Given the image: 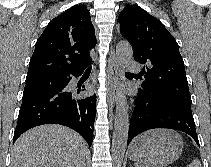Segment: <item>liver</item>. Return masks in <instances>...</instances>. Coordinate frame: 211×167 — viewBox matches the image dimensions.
Here are the masks:
<instances>
[{
	"instance_id": "1",
	"label": "liver",
	"mask_w": 211,
	"mask_h": 167,
	"mask_svg": "<svg viewBox=\"0 0 211 167\" xmlns=\"http://www.w3.org/2000/svg\"><path fill=\"white\" fill-rule=\"evenodd\" d=\"M86 150V142L75 131L61 125H41L18 138L10 167H83Z\"/></svg>"
}]
</instances>
